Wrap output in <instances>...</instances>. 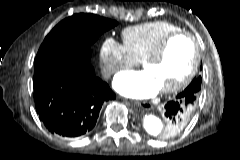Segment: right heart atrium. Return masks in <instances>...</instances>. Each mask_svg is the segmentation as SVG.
Returning a JSON list of instances; mask_svg holds the SVG:
<instances>
[{
	"instance_id": "1",
	"label": "right heart atrium",
	"mask_w": 240,
	"mask_h": 160,
	"mask_svg": "<svg viewBox=\"0 0 240 160\" xmlns=\"http://www.w3.org/2000/svg\"><path fill=\"white\" fill-rule=\"evenodd\" d=\"M99 59L102 74L106 78L112 77L135 63L124 44L112 38H107L102 42L99 50Z\"/></svg>"
}]
</instances>
